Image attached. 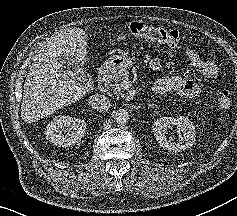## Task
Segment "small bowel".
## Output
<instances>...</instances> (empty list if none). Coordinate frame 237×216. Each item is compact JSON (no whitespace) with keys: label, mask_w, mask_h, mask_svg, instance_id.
Wrapping results in <instances>:
<instances>
[{"label":"small bowel","mask_w":237,"mask_h":216,"mask_svg":"<svg viewBox=\"0 0 237 216\" xmlns=\"http://www.w3.org/2000/svg\"><path fill=\"white\" fill-rule=\"evenodd\" d=\"M187 55L191 66L200 71L205 77L213 78L217 75L218 69L214 62L204 60L194 50H188ZM149 65L151 70L157 73L163 69L159 59L151 60ZM154 89L160 93L178 91L181 95L189 98H195L201 93V85L197 81L178 74L164 76L157 80Z\"/></svg>","instance_id":"small-bowel-1"}]
</instances>
